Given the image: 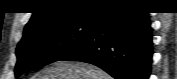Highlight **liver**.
<instances>
[{
	"label": "liver",
	"mask_w": 177,
	"mask_h": 79,
	"mask_svg": "<svg viewBox=\"0 0 177 79\" xmlns=\"http://www.w3.org/2000/svg\"><path fill=\"white\" fill-rule=\"evenodd\" d=\"M32 79H111L102 69L84 62L56 61Z\"/></svg>",
	"instance_id": "obj_1"
}]
</instances>
